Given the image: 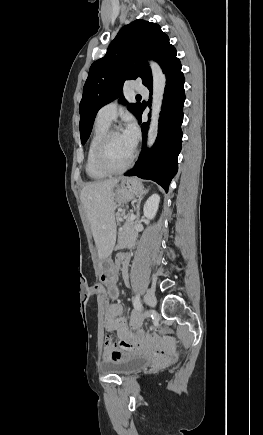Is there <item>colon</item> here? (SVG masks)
I'll use <instances>...</instances> for the list:
<instances>
[{
  "mask_svg": "<svg viewBox=\"0 0 263 435\" xmlns=\"http://www.w3.org/2000/svg\"><path fill=\"white\" fill-rule=\"evenodd\" d=\"M149 329H153L155 332H162L164 335H171L173 332L171 330H166L160 324H149L147 326ZM119 341V339L117 340ZM162 341H165L164 339ZM114 340L111 337H105L102 340V348L103 350H112Z\"/></svg>",
  "mask_w": 263,
  "mask_h": 435,
  "instance_id": "colon-1",
  "label": "colon"
}]
</instances>
